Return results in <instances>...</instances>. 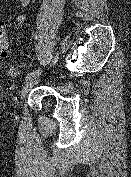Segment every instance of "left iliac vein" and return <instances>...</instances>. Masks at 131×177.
Returning <instances> with one entry per match:
<instances>
[{
  "mask_svg": "<svg viewBox=\"0 0 131 177\" xmlns=\"http://www.w3.org/2000/svg\"><path fill=\"white\" fill-rule=\"evenodd\" d=\"M56 59L57 58H54V61ZM39 80H40V74L39 75H35L34 77H32L31 79H29V80L26 81V83L23 86V89H22V91L20 93L21 99H23L24 97H26V95L31 90V88L34 87L39 82Z\"/></svg>",
  "mask_w": 131,
  "mask_h": 177,
  "instance_id": "left-iliac-vein-1",
  "label": "left iliac vein"
}]
</instances>
